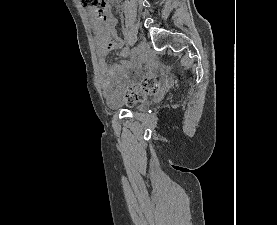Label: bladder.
I'll list each match as a JSON object with an SVG mask.
<instances>
[{
	"label": "bladder",
	"instance_id": "obj_1",
	"mask_svg": "<svg viewBox=\"0 0 277 225\" xmlns=\"http://www.w3.org/2000/svg\"><path fill=\"white\" fill-rule=\"evenodd\" d=\"M134 106H136V109H138V110H145V109L148 108L149 103L147 101H143V102H141L139 104H136ZM124 107H125V105L123 103H119L116 106H114V108H124Z\"/></svg>",
	"mask_w": 277,
	"mask_h": 225
}]
</instances>
